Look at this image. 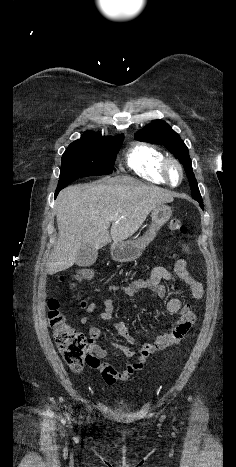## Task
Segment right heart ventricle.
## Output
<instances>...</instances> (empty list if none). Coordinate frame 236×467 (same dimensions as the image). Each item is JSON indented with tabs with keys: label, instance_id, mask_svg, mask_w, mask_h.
<instances>
[{
	"label": "right heart ventricle",
	"instance_id": "e07e8e85",
	"mask_svg": "<svg viewBox=\"0 0 236 467\" xmlns=\"http://www.w3.org/2000/svg\"><path fill=\"white\" fill-rule=\"evenodd\" d=\"M164 154L157 148L145 145H134L126 155V166L139 177L152 183L166 184L161 173Z\"/></svg>",
	"mask_w": 236,
	"mask_h": 467
}]
</instances>
